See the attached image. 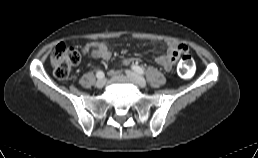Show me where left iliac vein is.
<instances>
[{"label": "left iliac vein", "instance_id": "4c4485c4", "mask_svg": "<svg viewBox=\"0 0 258 158\" xmlns=\"http://www.w3.org/2000/svg\"><path fill=\"white\" fill-rule=\"evenodd\" d=\"M126 74H127V76L130 78V79H132L139 87H141V88H145L146 87V81H145V79L141 76V75H139V74H137L136 72H134V71H131V70H126Z\"/></svg>", "mask_w": 258, "mask_h": 158}]
</instances>
